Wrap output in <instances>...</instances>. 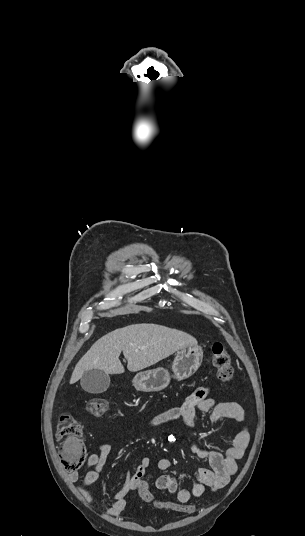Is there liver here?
Returning <instances> with one entry per match:
<instances>
[{
  "mask_svg": "<svg viewBox=\"0 0 305 536\" xmlns=\"http://www.w3.org/2000/svg\"><path fill=\"white\" fill-rule=\"evenodd\" d=\"M197 346V340L185 332L157 326L132 324L119 328L97 340L76 364L69 384H75L86 370H103L105 374H123L119 360L123 352L129 372H139L168 358L174 352Z\"/></svg>",
  "mask_w": 305,
  "mask_h": 536,
  "instance_id": "1",
  "label": "liver"
}]
</instances>
